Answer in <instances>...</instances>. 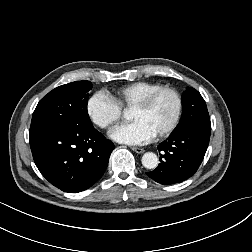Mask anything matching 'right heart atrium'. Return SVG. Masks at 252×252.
<instances>
[{
    "label": "right heart atrium",
    "instance_id": "obj_1",
    "mask_svg": "<svg viewBox=\"0 0 252 252\" xmlns=\"http://www.w3.org/2000/svg\"><path fill=\"white\" fill-rule=\"evenodd\" d=\"M86 111L90 120L102 129L113 126L122 116V107L103 92H96L89 97Z\"/></svg>",
    "mask_w": 252,
    "mask_h": 252
}]
</instances>
